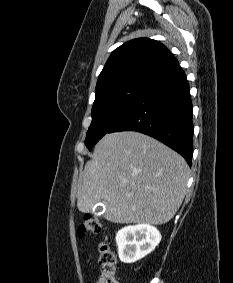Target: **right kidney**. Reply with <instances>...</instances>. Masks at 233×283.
<instances>
[{"label": "right kidney", "mask_w": 233, "mask_h": 283, "mask_svg": "<svg viewBox=\"0 0 233 283\" xmlns=\"http://www.w3.org/2000/svg\"><path fill=\"white\" fill-rule=\"evenodd\" d=\"M160 241V232L149 224L129 225L116 234L119 258L124 263H133L145 257Z\"/></svg>", "instance_id": "obj_1"}]
</instances>
